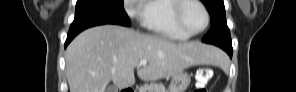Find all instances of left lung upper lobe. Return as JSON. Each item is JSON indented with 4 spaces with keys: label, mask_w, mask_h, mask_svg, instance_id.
<instances>
[{
    "label": "left lung upper lobe",
    "mask_w": 296,
    "mask_h": 92,
    "mask_svg": "<svg viewBox=\"0 0 296 92\" xmlns=\"http://www.w3.org/2000/svg\"><path fill=\"white\" fill-rule=\"evenodd\" d=\"M206 6L211 17V29L202 41L219 47L231 45L230 30L225 17L223 0H201Z\"/></svg>",
    "instance_id": "obj_1"
}]
</instances>
